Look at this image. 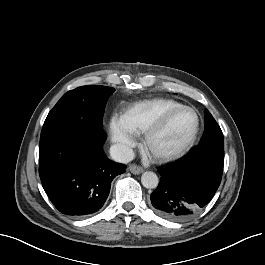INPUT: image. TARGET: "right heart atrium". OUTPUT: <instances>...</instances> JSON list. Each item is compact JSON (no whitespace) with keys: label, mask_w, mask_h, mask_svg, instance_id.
Returning <instances> with one entry per match:
<instances>
[{"label":"right heart atrium","mask_w":265,"mask_h":265,"mask_svg":"<svg viewBox=\"0 0 265 265\" xmlns=\"http://www.w3.org/2000/svg\"><path fill=\"white\" fill-rule=\"evenodd\" d=\"M110 137L114 143L122 146L127 152H131L135 144L134 135L122 124L120 118L113 116L109 124Z\"/></svg>","instance_id":"obj_1"}]
</instances>
